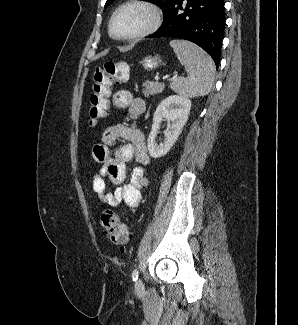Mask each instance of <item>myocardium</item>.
<instances>
[{"instance_id":"1","label":"myocardium","mask_w":298,"mask_h":325,"mask_svg":"<svg viewBox=\"0 0 298 325\" xmlns=\"http://www.w3.org/2000/svg\"><path fill=\"white\" fill-rule=\"evenodd\" d=\"M126 10H138V11L142 12L147 18V21H146V24L144 25V27L137 34H135L133 37H131L129 39H123V38L117 37L114 33L115 19L121 12L126 11ZM159 22L160 21H159L158 13L153 6L143 3V2H130V3H126V4H123L122 6H120L112 15L110 24H109V34L114 40H116L118 42L125 43V44H131V43H135V42L141 40L145 36L151 34L153 31H155L157 29V27L159 26Z\"/></svg>"}]
</instances>
